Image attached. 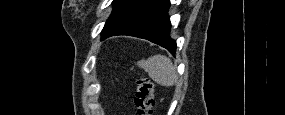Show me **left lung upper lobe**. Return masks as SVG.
I'll use <instances>...</instances> for the list:
<instances>
[{
    "mask_svg": "<svg viewBox=\"0 0 285 115\" xmlns=\"http://www.w3.org/2000/svg\"><path fill=\"white\" fill-rule=\"evenodd\" d=\"M130 0H113V6H114V9L111 13V15L109 16L108 20L106 21V24L105 26L107 25V23L111 20V18L122 8L124 7ZM104 26V28H105ZM103 28V30H104ZM103 30H102V33H103Z\"/></svg>",
    "mask_w": 285,
    "mask_h": 115,
    "instance_id": "5c2ea615",
    "label": "left lung upper lobe"
}]
</instances>
